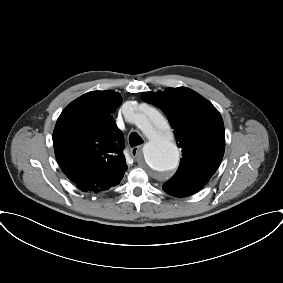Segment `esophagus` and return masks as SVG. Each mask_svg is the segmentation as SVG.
Wrapping results in <instances>:
<instances>
[{
    "mask_svg": "<svg viewBox=\"0 0 283 283\" xmlns=\"http://www.w3.org/2000/svg\"><path fill=\"white\" fill-rule=\"evenodd\" d=\"M133 158H137L141 153V146H136L130 149Z\"/></svg>",
    "mask_w": 283,
    "mask_h": 283,
    "instance_id": "obj_1",
    "label": "esophagus"
}]
</instances>
